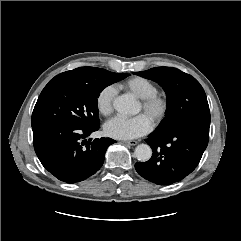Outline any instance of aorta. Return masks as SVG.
Returning a JSON list of instances; mask_svg holds the SVG:
<instances>
[{
  "label": "aorta",
  "instance_id": "aorta-1",
  "mask_svg": "<svg viewBox=\"0 0 241 241\" xmlns=\"http://www.w3.org/2000/svg\"><path fill=\"white\" fill-rule=\"evenodd\" d=\"M116 111L122 115H134L138 113V106L133 97L129 95H121L114 100L113 103ZM135 157L141 161H148L152 156V150L147 144H140L135 148Z\"/></svg>",
  "mask_w": 241,
  "mask_h": 241
}]
</instances>
